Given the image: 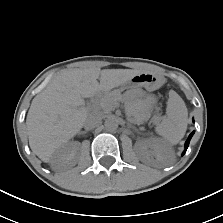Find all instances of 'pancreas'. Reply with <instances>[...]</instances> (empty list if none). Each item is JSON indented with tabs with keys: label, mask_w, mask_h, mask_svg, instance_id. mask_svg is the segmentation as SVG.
<instances>
[{
	"label": "pancreas",
	"mask_w": 223,
	"mask_h": 223,
	"mask_svg": "<svg viewBox=\"0 0 223 223\" xmlns=\"http://www.w3.org/2000/svg\"><path fill=\"white\" fill-rule=\"evenodd\" d=\"M120 99L121 94L119 90L107 92L96 101V109L97 111L110 112L118 106Z\"/></svg>",
	"instance_id": "pancreas-1"
}]
</instances>
